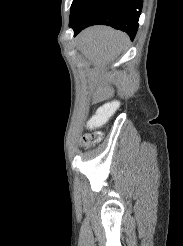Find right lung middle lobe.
<instances>
[{
  "mask_svg": "<svg viewBox=\"0 0 183 246\" xmlns=\"http://www.w3.org/2000/svg\"><path fill=\"white\" fill-rule=\"evenodd\" d=\"M81 0H73V3L71 5V14L74 12V10L77 8L78 4L80 3ZM70 14V16H71Z\"/></svg>",
  "mask_w": 183,
  "mask_h": 246,
  "instance_id": "dd1d6c3e",
  "label": "right lung middle lobe"
}]
</instances>
